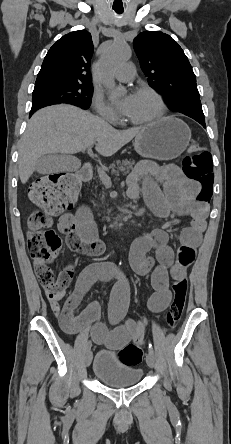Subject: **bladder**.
<instances>
[{
  "mask_svg": "<svg viewBox=\"0 0 231 444\" xmlns=\"http://www.w3.org/2000/svg\"><path fill=\"white\" fill-rule=\"evenodd\" d=\"M92 374L107 386L121 388L138 384L143 369L124 361L115 352L101 350L94 358Z\"/></svg>",
  "mask_w": 231,
  "mask_h": 444,
  "instance_id": "31cf9c89",
  "label": "bladder"
}]
</instances>
